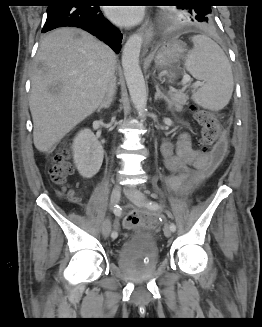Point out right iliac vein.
<instances>
[{"mask_svg":"<svg viewBox=\"0 0 262 327\" xmlns=\"http://www.w3.org/2000/svg\"><path fill=\"white\" fill-rule=\"evenodd\" d=\"M120 196H121V188L119 185H115L112 188L111 194H110V203L112 206H115L119 200H120ZM111 231V221L109 218L105 219L103 224H102V234L105 237H108Z\"/></svg>","mask_w":262,"mask_h":327,"instance_id":"1","label":"right iliac vein"}]
</instances>
